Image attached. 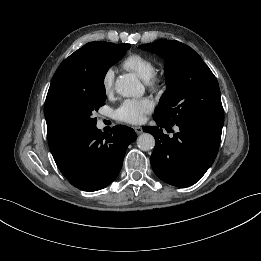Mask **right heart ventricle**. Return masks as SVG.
Listing matches in <instances>:
<instances>
[{
    "label": "right heart ventricle",
    "instance_id": "right-heart-ventricle-1",
    "mask_svg": "<svg viewBox=\"0 0 261 261\" xmlns=\"http://www.w3.org/2000/svg\"><path fill=\"white\" fill-rule=\"evenodd\" d=\"M123 67L134 72L145 81L156 72L154 61L150 57L139 53L128 55L123 61Z\"/></svg>",
    "mask_w": 261,
    "mask_h": 261
}]
</instances>
